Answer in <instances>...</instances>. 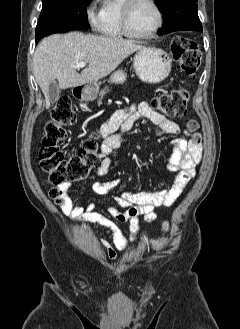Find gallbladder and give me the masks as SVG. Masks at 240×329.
I'll return each mask as SVG.
<instances>
[{
  "label": "gallbladder",
  "mask_w": 240,
  "mask_h": 329,
  "mask_svg": "<svg viewBox=\"0 0 240 329\" xmlns=\"http://www.w3.org/2000/svg\"><path fill=\"white\" fill-rule=\"evenodd\" d=\"M49 100L53 104L59 99L60 88L56 81H52L48 87Z\"/></svg>",
  "instance_id": "1"
}]
</instances>
